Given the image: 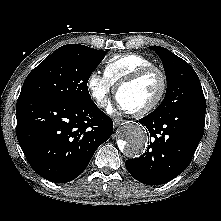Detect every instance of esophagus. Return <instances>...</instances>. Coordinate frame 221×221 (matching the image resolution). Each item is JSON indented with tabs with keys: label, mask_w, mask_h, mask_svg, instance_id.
Wrapping results in <instances>:
<instances>
[{
	"label": "esophagus",
	"mask_w": 221,
	"mask_h": 221,
	"mask_svg": "<svg viewBox=\"0 0 221 221\" xmlns=\"http://www.w3.org/2000/svg\"><path fill=\"white\" fill-rule=\"evenodd\" d=\"M124 122V120L122 118H115L113 120V123H114V126L117 127L119 126L120 124H122Z\"/></svg>",
	"instance_id": "obj_1"
}]
</instances>
